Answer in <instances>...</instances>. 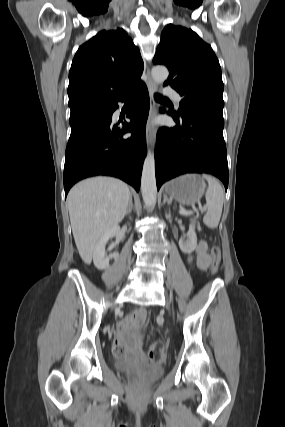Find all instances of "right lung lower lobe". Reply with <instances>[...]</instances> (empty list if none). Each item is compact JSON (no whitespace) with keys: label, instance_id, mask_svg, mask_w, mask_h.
Here are the masks:
<instances>
[{"label":"right lung lower lobe","instance_id":"98d812e1","mask_svg":"<svg viewBox=\"0 0 285 427\" xmlns=\"http://www.w3.org/2000/svg\"><path fill=\"white\" fill-rule=\"evenodd\" d=\"M128 99H133L127 113L131 121H124L119 127V122L112 123V114L119 101ZM149 104L147 87L141 82L111 103L108 111L87 112L70 123L64 166L65 196L76 182L96 175L118 177L139 190L147 152L145 127ZM127 132L132 135L123 138Z\"/></svg>","mask_w":285,"mask_h":427}]
</instances>
